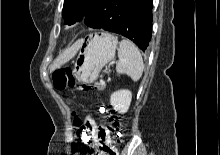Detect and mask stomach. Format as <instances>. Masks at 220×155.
<instances>
[{
    "mask_svg": "<svg viewBox=\"0 0 220 155\" xmlns=\"http://www.w3.org/2000/svg\"><path fill=\"white\" fill-rule=\"evenodd\" d=\"M81 41L73 72L78 81L90 84L98 79L102 68L115 56L118 41L108 32L97 33Z\"/></svg>",
    "mask_w": 220,
    "mask_h": 155,
    "instance_id": "0dacf381",
    "label": "stomach"
}]
</instances>
